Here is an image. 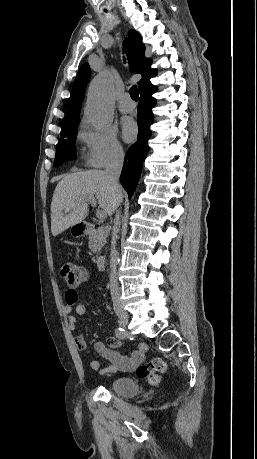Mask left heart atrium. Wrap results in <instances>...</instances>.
<instances>
[{
  "label": "left heart atrium",
  "instance_id": "left-heart-atrium-1",
  "mask_svg": "<svg viewBox=\"0 0 257 459\" xmlns=\"http://www.w3.org/2000/svg\"><path fill=\"white\" fill-rule=\"evenodd\" d=\"M137 134V125L136 123L130 119L125 118L122 121V135L125 141L130 142L132 141Z\"/></svg>",
  "mask_w": 257,
  "mask_h": 459
}]
</instances>
